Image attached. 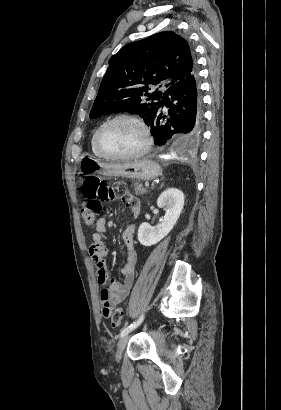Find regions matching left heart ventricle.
Wrapping results in <instances>:
<instances>
[{"instance_id":"left-heart-ventricle-1","label":"left heart ventricle","mask_w":281,"mask_h":410,"mask_svg":"<svg viewBox=\"0 0 281 410\" xmlns=\"http://www.w3.org/2000/svg\"><path fill=\"white\" fill-rule=\"evenodd\" d=\"M102 147L115 155L130 154L142 148L145 137L142 130L129 120H118L101 133Z\"/></svg>"}]
</instances>
